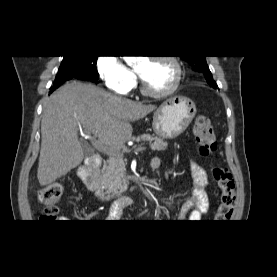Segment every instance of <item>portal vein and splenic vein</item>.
<instances>
[{"label":"portal vein and splenic vein","instance_id":"obj_1","mask_svg":"<svg viewBox=\"0 0 277 277\" xmlns=\"http://www.w3.org/2000/svg\"><path fill=\"white\" fill-rule=\"evenodd\" d=\"M87 134L89 135L90 133H87ZM91 143L97 150H99L100 152H103L107 155H113L115 152L112 149L102 145L98 140H95L94 138H91ZM145 149H146L145 147L140 146V147L136 148V151L141 152V151H144Z\"/></svg>","mask_w":277,"mask_h":277}]
</instances>
